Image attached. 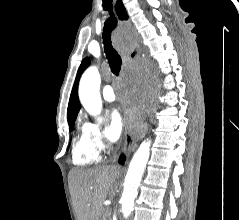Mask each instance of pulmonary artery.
<instances>
[{
    "mask_svg": "<svg viewBox=\"0 0 239 220\" xmlns=\"http://www.w3.org/2000/svg\"><path fill=\"white\" fill-rule=\"evenodd\" d=\"M103 98L108 101V102H112L116 99V95L114 93V89L111 85H106L104 88H103Z\"/></svg>",
    "mask_w": 239,
    "mask_h": 220,
    "instance_id": "pulmonary-artery-1",
    "label": "pulmonary artery"
}]
</instances>
